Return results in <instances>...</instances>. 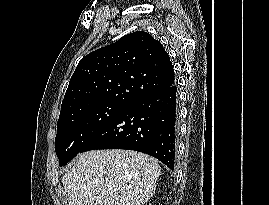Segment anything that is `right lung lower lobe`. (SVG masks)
Listing matches in <instances>:
<instances>
[{"instance_id":"98d812e1","label":"right lung lower lobe","mask_w":269,"mask_h":205,"mask_svg":"<svg viewBox=\"0 0 269 205\" xmlns=\"http://www.w3.org/2000/svg\"><path fill=\"white\" fill-rule=\"evenodd\" d=\"M177 132V87L173 85L128 105L81 152L129 149L151 155L173 170Z\"/></svg>"}]
</instances>
